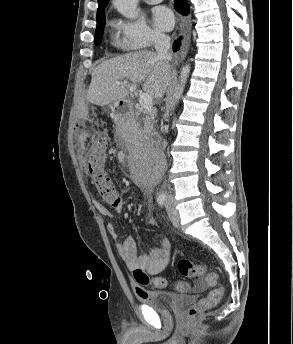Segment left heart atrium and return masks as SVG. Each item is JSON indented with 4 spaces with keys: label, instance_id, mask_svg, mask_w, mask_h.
<instances>
[{
    "label": "left heart atrium",
    "instance_id": "39dd6f15",
    "mask_svg": "<svg viewBox=\"0 0 293 344\" xmlns=\"http://www.w3.org/2000/svg\"><path fill=\"white\" fill-rule=\"evenodd\" d=\"M152 21L158 29L169 31L173 27L174 17L167 7L159 6L152 10Z\"/></svg>",
    "mask_w": 293,
    "mask_h": 344
}]
</instances>
